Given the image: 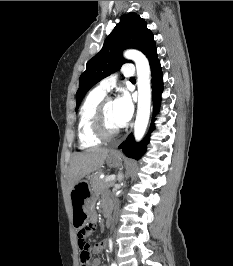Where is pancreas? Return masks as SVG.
I'll use <instances>...</instances> for the list:
<instances>
[{"instance_id": "pancreas-1", "label": "pancreas", "mask_w": 233, "mask_h": 266, "mask_svg": "<svg viewBox=\"0 0 233 266\" xmlns=\"http://www.w3.org/2000/svg\"><path fill=\"white\" fill-rule=\"evenodd\" d=\"M91 187L92 190L97 194H101L105 189H107L108 187L113 186L114 182L110 181V182H105V178L101 179L99 177V174H94L93 177L91 178Z\"/></svg>"}]
</instances>
